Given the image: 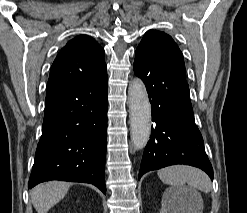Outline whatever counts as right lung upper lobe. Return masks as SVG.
<instances>
[{
    "label": "right lung upper lobe",
    "instance_id": "right-lung-upper-lobe-1",
    "mask_svg": "<svg viewBox=\"0 0 247 213\" xmlns=\"http://www.w3.org/2000/svg\"><path fill=\"white\" fill-rule=\"evenodd\" d=\"M103 48L88 35L70 40L52 64L47 91L106 72Z\"/></svg>",
    "mask_w": 247,
    "mask_h": 213
}]
</instances>
